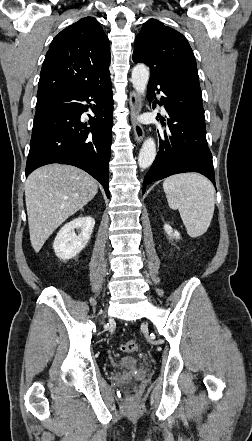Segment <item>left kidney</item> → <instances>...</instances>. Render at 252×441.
<instances>
[{"instance_id": "obj_1", "label": "left kidney", "mask_w": 252, "mask_h": 441, "mask_svg": "<svg viewBox=\"0 0 252 441\" xmlns=\"http://www.w3.org/2000/svg\"><path fill=\"white\" fill-rule=\"evenodd\" d=\"M164 230L170 237H173L175 239H180L179 232L175 230L173 231L172 227L169 224L164 225Z\"/></svg>"}]
</instances>
